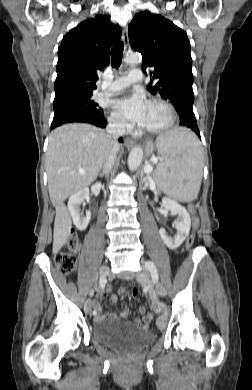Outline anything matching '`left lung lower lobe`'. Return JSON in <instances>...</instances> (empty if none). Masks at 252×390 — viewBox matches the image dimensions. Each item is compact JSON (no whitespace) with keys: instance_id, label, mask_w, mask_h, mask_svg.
<instances>
[{"instance_id":"0a47b994","label":"left lung lower lobe","mask_w":252,"mask_h":390,"mask_svg":"<svg viewBox=\"0 0 252 390\" xmlns=\"http://www.w3.org/2000/svg\"><path fill=\"white\" fill-rule=\"evenodd\" d=\"M179 117H180V125L188 127L195 131V133L200 137L199 129L196 123V118L193 113V108L187 105H183L179 108L177 111Z\"/></svg>"}]
</instances>
